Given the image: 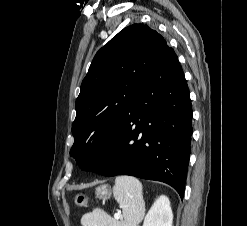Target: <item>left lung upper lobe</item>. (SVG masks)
I'll return each instance as SVG.
<instances>
[{
  "mask_svg": "<svg viewBox=\"0 0 247 226\" xmlns=\"http://www.w3.org/2000/svg\"><path fill=\"white\" fill-rule=\"evenodd\" d=\"M166 45L155 30L133 24L96 53L82 81L72 124L74 144L70 155L81 168L115 135Z\"/></svg>",
  "mask_w": 247,
  "mask_h": 226,
  "instance_id": "5c2ea615",
  "label": "left lung upper lobe"
}]
</instances>
